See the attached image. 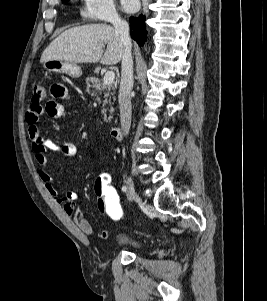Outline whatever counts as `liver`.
I'll return each mask as SVG.
<instances>
[{"instance_id": "1", "label": "liver", "mask_w": 267, "mask_h": 301, "mask_svg": "<svg viewBox=\"0 0 267 301\" xmlns=\"http://www.w3.org/2000/svg\"><path fill=\"white\" fill-rule=\"evenodd\" d=\"M107 45L103 53V47ZM124 47L119 34L107 24H88L64 31L42 53L40 62L63 60L70 63L117 64Z\"/></svg>"}]
</instances>
